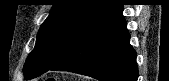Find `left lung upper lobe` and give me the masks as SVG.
<instances>
[{"mask_svg":"<svg viewBox=\"0 0 169 81\" xmlns=\"http://www.w3.org/2000/svg\"><path fill=\"white\" fill-rule=\"evenodd\" d=\"M117 0H57L37 35L23 67L25 79L50 70L77 35L108 11Z\"/></svg>","mask_w":169,"mask_h":81,"instance_id":"5c2ea615","label":"left lung upper lobe"}]
</instances>
